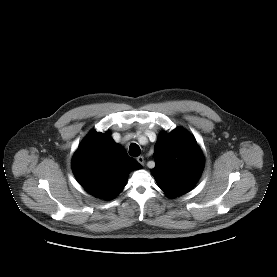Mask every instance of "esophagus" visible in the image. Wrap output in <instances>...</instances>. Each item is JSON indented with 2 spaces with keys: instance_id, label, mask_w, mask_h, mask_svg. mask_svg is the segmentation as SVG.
<instances>
[{
  "instance_id": "obj_1",
  "label": "esophagus",
  "mask_w": 277,
  "mask_h": 277,
  "mask_svg": "<svg viewBox=\"0 0 277 277\" xmlns=\"http://www.w3.org/2000/svg\"><path fill=\"white\" fill-rule=\"evenodd\" d=\"M137 161L141 164V165H144V157L143 156H139L137 157Z\"/></svg>"
}]
</instances>
